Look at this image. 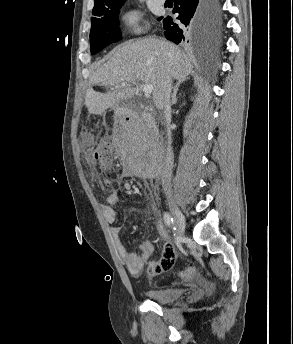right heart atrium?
<instances>
[{
	"label": "right heart atrium",
	"mask_w": 293,
	"mask_h": 344,
	"mask_svg": "<svg viewBox=\"0 0 293 344\" xmlns=\"http://www.w3.org/2000/svg\"><path fill=\"white\" fill-rule=\"evenodd\" d=\"M117 25L124 34L138 35L141 31L139 13L135 9L122 12L118 16Z\"/></svg>",
	"instance_id": "d8ad5b80"
}]
</instances>
